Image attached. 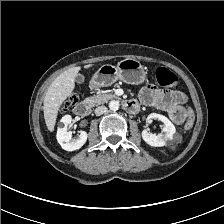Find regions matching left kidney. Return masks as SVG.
Listing matches in <instances>:
<instances>
[{"instance_id": "obj_1", "label": "left kidney", "mask_w": 224, "mask_h": 224, "mask_svg": "<svg viewBox=\"0 0 224 224\" xmlns=\"http://www.w3.org/2000/svg\"><path fill=\"white\" fill-rule=\"evenodd\" d=\"M158 119L164 123V128L159 134H153L148 132L147 129L142 131L143 140L150 146L153 147H162L167 144V142L173 139V136L176 132L175 126L173 123L165 116L152 113L147 117V120Z\"/></svg>"}]
</instances>
